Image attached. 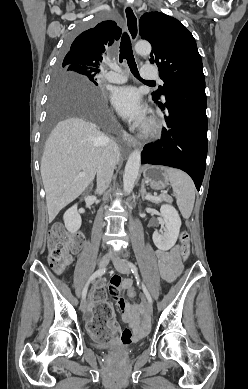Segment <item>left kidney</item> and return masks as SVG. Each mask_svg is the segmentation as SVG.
I'll return each mask as SVG.
<instances>
[{
    "instance_id": "1",
    "label": "left kidney",
    "mask_w": 248,
    "mask_h": 389,
    "mask_svg": "<svg viewBox=\"0 0 248 389\" xmlns=\"http://www.w3.org/2000/svg\"><path fill=\"white\" fill-rule=\"evenodd\" d=\"M160 212L165 226L160 231H155L152 239L158 249L167 251L175 245L178 239L181 219L176 209L171 205H162Z\"/></svg>"
}]
</instances>
